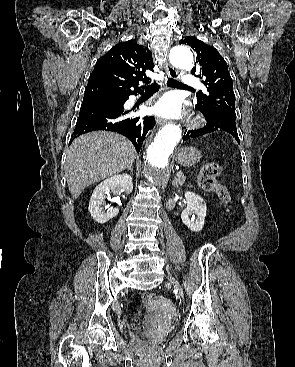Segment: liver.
Masks as SVG:
<instances>
[{
    "label": "liver",
    "instance_id": "obj_1",
    "mask_svg": "<svg viewBox=\"0 0 295 367\" xmlns=\"http://www.w3.org/2000/svg\"><path fill=\"white\" fill-rule=\"evenodd\" d=\"M135 157L133 144L116 133L95 131L76 138L67 150L65 163L72 197L78 198L89 185L127 169Z\"/></svg>",
    "mask_w": 295,
    "mask_h": 367
}]
</instances>
